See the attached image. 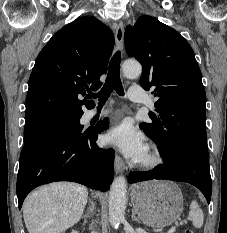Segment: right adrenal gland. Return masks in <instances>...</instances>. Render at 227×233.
<instances>
[{"label":"right adrenal gland","mask_w":227,"mask_h":233,"mask_svg":"<svg viewBox=\"0 0 227 233\" xmlns=\"http://www.w3.org/2000/svg\"><path fill=\"white\" fill-rule=\"evenodd\" d=\"M92 215L87 213L85 215L82 216V218H84V222L86 223L87 222V219L90 218Z\"/></svg>","instance_id":"right-adrenal-gland-1"}]
</instances>
